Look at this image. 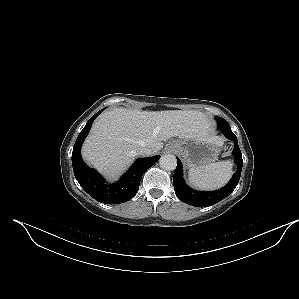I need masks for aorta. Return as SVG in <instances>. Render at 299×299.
Returning <instances> with one entry per match:
<instances>
[{
	"mask_svg": "<svg viewBox=\"0 0 299 299\" xmlns=\"http://www.w3.org/2000/svg\"><path fill=\"white\" fill-rule=\"evenodd\" d=\"M160 167L166 171H172L177 166L176 157L172 154H166L161 156L159 160Z\"/></svg>",
	"mask_w": 299,
	"mask_h": 299,
	"instance_id": "obj_1",
	"label": "aorta"
}]
</instances>
